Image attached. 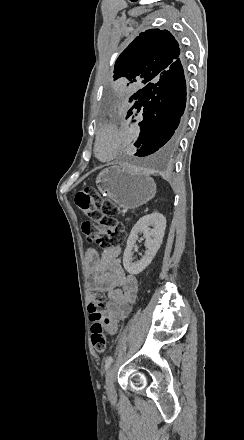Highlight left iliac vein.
<instances>
[{"mask_svg":"<svg viewBox=\"0 0 244 440\" xmlns=\"http://www.w3.org/2000/svg\"><path fill=\"white\" fill-rule=\"evenodd\" d=\"M114 367H111L106 374V393L109 400H113L116 396V390L114 387Z\"/></svg>","mask_w":244,"mask_h":440,"instance_id":"left-iliac-vein-1","label":"left iliac vein"}]
</instances>
